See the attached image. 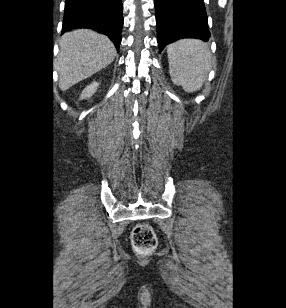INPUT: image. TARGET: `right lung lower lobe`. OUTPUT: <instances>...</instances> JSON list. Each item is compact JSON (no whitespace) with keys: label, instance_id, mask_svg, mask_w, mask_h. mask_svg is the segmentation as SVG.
<instances>
[{"label":"right lung lower lobe","instance_id":"obj_1","mask_svg":"<svg viewBox=\"0 0 286 308\" xmlns=\"http://www.w3.org/2000/svg\"><path fill=\"white\" fill-rule=\"evenodd\" d=\"M121 0H66L62 34L68 29H96L119 49L123 26Z\"/></svg>","mask_w":286,"mask_h":308}]
</instances>
